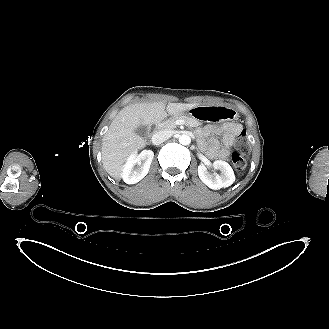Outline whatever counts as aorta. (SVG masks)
<instances>
[{
  "label": "aorta",
  "mask_w": 329,
  "mask_h": 329,
  "mask_svg": "<svg viewBox=\"0 0 329 329\" xmlns=\"http://www.w3.org/2000/svg\"><path fill=\"white\" fill-rule=\"evenodd\" d=\"M191 142L190 136L183 134L179 137V143L182 145H189Z\"/></svg>",
  "instance_id": "1"
}]
</instances>
